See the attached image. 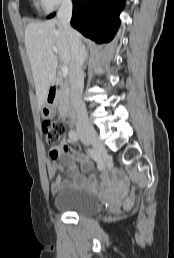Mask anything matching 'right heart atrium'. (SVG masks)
Wrapping results in <instances>:
<instances>
[{
    "label": "right heart atrium",
    "instance_id": "obj_1",
    "mask_svg": "<svg viewBox=\"0 0 174 258\" xmlns=\"http://www.w3.org/2000/svg\"><path fill=\"white\" fill-rule=\"evenodd\" d=\"M40 6L45 12H52L60 5L68 2L69 0H38Z\"/></svg>",
    "mask_w": 174,
    "mask_h": 258
}]
</instances>
